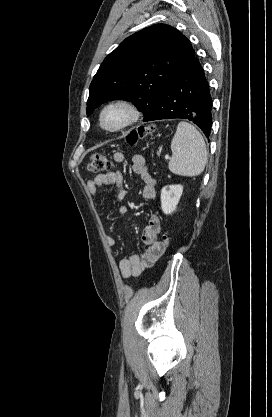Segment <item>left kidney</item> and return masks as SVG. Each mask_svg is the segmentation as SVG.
I'll return each mask as SVG.
<instances>
[{"label":"left kidney","instance_id":"5707ae66","mask_svg":"<svg viewBox=\"0 0 272 417\" xmlns=\"http://www.w3.org/2000/svg\"><path fill=\"white\" fill-rule=\"evenodd\" d=\"M183 192L182 185H168L161 190V208L167 215L176 210L180 197Z\"/></svg>","mask_w":272,"mask_h":417}]
</instances>
